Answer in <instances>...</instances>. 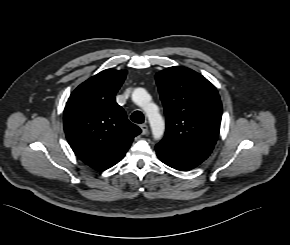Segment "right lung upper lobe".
<instances>
[{"label": "right lung upper lobe", "mask_w": 290, "mask_h": 245, "mask_svg": "<svg viewBox=\"0 0 290 245\" xmlns=\"http://www.w3.org/2000/svg\"><path fill=\"white\" fill-rule=\"evenodd\" d=\"M126 70L106 69L79 85L64 110V130L74 153L90 167L103 171L123 159L140 134L115 95Z\"/></svg>", "instance_id": "1"}]
</instances>
